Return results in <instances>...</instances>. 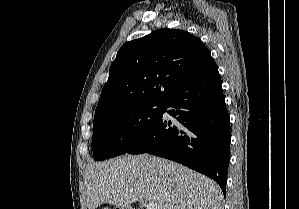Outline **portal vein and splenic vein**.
<instances>
[{"mask_svg":"<svg viewBox=\"0 0 299 209\" xmlns=\"http://www.w3.org/2000/svg\"><path fill=\"white\" fill-rule=\"evenodd\" d=\"M146 209H157V205L154 202H148Z\"/></svg>","mask_w":299,"mask_h":209,"instance_id":"portal-vein-and-splenic-vein-1","label":"portal vein and splenic vein"}]
</instances>
